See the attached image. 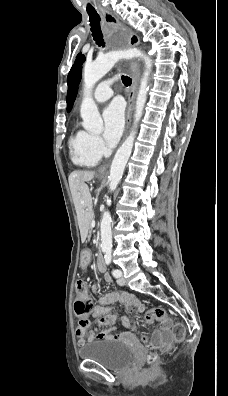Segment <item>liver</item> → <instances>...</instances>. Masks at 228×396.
<instances>
[{"mask_svg":"<svg viewBox=\"0 0 228 396\" xmlns=\"http://www.w3.org/2000/svg\"><path fill=\"white\" fill-rule=\"evenodd\" d=\"M93 171H74L69 175V186L81 225L82 240L85 239L83 225L88 221L92 214V197L86 182L93 179Z\"/></svg>","mask_w":228,"mask_h":396,"instance_id":"liver-1","label":"liver"}]
</instances>
